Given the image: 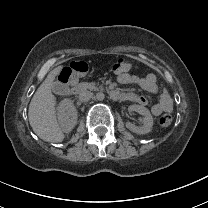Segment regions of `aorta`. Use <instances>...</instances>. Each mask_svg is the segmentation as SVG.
Segmentation results:
<instances>
[{"label": "aorta", "mask_w": 208, "mask_h": 208, "mask_svg": "<svg viewBox=\"0 0 208 208\" xmlns=\"http://www.w3.org/2000/svg\"><path fill=\"white\" fill-rule=\"evenodd\" d=\"M95 99H96L97 102L103 103V102L106 101L107 96H106L105 93L99 92V93L96 94Z\"/></svg>", "instance_id": "obj_1"}]
</instances>
